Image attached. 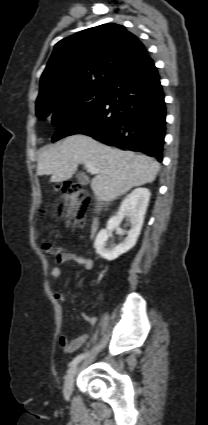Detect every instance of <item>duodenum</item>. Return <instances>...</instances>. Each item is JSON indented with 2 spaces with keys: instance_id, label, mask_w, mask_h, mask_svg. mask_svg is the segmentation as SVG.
<instances>
[{
  "instance_id": "1",
  "label": "duodenum",
  "mask_w": 208,
  "mask_h": 425,
  "mask_svg": "<svg viewBox=\"0 0 208 425\" xmlns=\"http://www.w3.org/2000/svg\"><path fill=\"white\" fill-rule=\"evenodd\" d=\"M98 227V221L96 217H93L90 223V232L93 234Z\"/></svg>"
}]
</instances>
